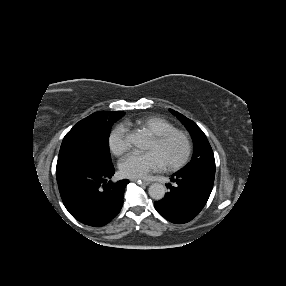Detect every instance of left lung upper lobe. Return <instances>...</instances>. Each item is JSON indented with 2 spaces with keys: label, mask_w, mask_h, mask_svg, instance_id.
I'll use <instances>...</instances> for the list:
<instances>
[{
  "label": "left lung upper lobe",
  "mask_w": 286,
  "mask_h": 286,
  "mask_svg": "<svg viewBox=\"0 0 286 286\" xmlns=\"http://www.w3.org/2000/svg\"><path fill=\"white\" fill-rule=\"evenodd\" d=\"M170 112L174 114L188 129L194 142V153L192 159L181 170H215L214 154L203 131L197 126L195 122L186 118L179 112L172 109H170Z\"/></svg>",
  "instance_id": "5c2ea615"
}]
</instances>
